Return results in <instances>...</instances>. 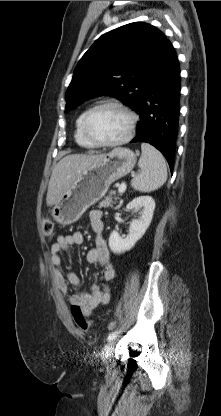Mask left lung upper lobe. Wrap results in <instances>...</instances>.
Masks as SVG:
<instances>
[{"label": "left lung upper lobe", "mask_w": 221, "mask_h": 416, "mask_svg": "<svg viewBox=\"0 0 221 416\" xmlns=\"http://www.w3.org/2000/svg\"><path fill=\"white\" fill-rule=\"evenodd\" d=\"M166 41L160 30L143 22L102 35L74 70L65 112L101 95L116 96L137 112Z\"/></svg>", "instance_id": "obj_1"}]
</instances>
